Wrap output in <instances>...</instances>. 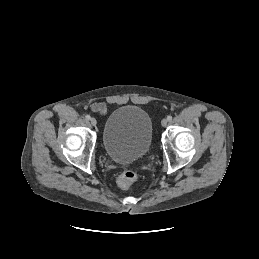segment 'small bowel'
<instances>
[{
  "mask_svg": "<svg viewBox=\"0 0 259 259\" xmlns=\"http://www.w3.org/2000/svg\"><path fill=\"white\" fill-rule=\"evenodd\" d=\"M93 110L96 111V112H98V113H105V111H106V106H105V104H103V103H98V104H95V105L93 106Z\"/></svg>",
  "mask_w": 259,
  "mask_h": 259,
  "instance_id": "c3829d8e",
  "label": "small bowel"
}]
</instances>
